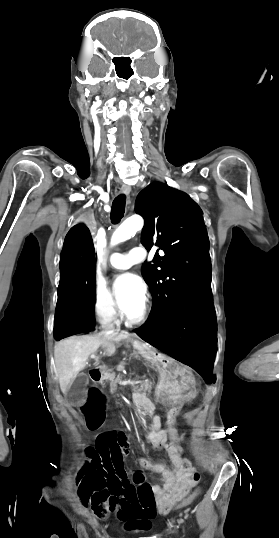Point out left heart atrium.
I'll use <instances>...</instances> for the list:
<instances>
[{
    "label": "left heart atrium",
    "instance_id": "obj_1",
    "mask_svg": "<svg viewBox=\"0 0 279 538\" xmlns=\"http://www.w3.org/2000/svg\"><path fill=\"white\" fill-rule=\"evenodd\" d=\"M119 301L124 309L131 305H141L145 299V285L142 279L132 273H125L116 279Z\"/></svg>",
    "mask_w": 279,
    "mask_h": 538
}]
</instances>
